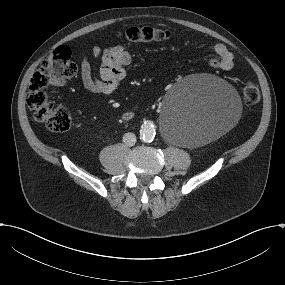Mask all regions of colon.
I'll return each mask as SVG.
<instances>
[{"label":"colon","mask_w":285,"mask_h":285,"mask_svg":"<svg viewBox=\"0 0 285 285\" xmlns=\"http://www.w3.org/2000/svg\"><path fill=\"white\" fill-rule=\"evenodd\" d=\"M169 36L168 30L154 27H130L123 33V38L129 43L158 42ZM76 73L77 66L71 61L70 49L60 46L42 63L30 80L27 104L33 111L35 120L45 124L51 131L63 132L70 129L72 118L64 106L49 100L47 88L50 84H61ZM242 96L247 106H254L259 103L261 92L255 83H247Z\"/></svg>","instance_id":"colon-1"}]
</instances>
